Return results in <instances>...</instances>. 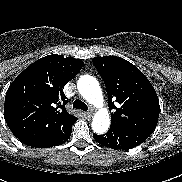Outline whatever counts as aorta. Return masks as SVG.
Masks as SVG:
<instances>
[{"mask_svg": "<svg viewBox=\"0 0 182 182\" xmlns=\"http://www.w3.org/2000/svg\"><path fill=\"white\" fill-rule=\"evenodd\" d=\"M77 87L87 102L99 108L92 121L93 131L97 134L105 133L110 126V117L108 110L103 108L104 99L99 82L93 76L84 75L78 80Z\"/></svg>", "mask_w": 182, "mask_h": 182, "instance_id": "762f6f07", "label": "aorta"}]
</instances>
